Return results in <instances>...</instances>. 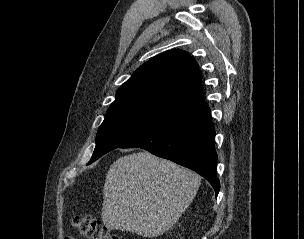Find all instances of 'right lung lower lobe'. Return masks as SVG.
<instances>
[{
	"label": "right lung lower lobe",
	"instance_id": "98d812e1",
	"mask_svg": "<svg viewBox=\"0 0 304 239\" xmlns=\"http://www.w3.org/2000/svg\"><path fill=\"white\" fill-rule=\"evenodd\" d=\"M211 112L205 104L127 142L119 148H143L205 177L218 195L217 153Z\"/></svg>",
	"mask_w": 304,
	"mask_h": 239
}]
</instances>
